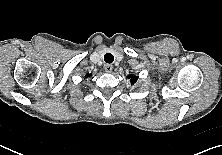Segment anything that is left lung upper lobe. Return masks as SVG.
I'll return each instance as SVG.
<instances>
[{
	"label": "left lung upper lobe",
	"mask_w": 222,
	"mask_h": 155,
	"mask_svg": "<svg viewBox=\"0 0 222 155\" xmlns=\"http://www.w3.org/2000/svg\"><path fill=\"white\" fill-rule=\"evenodd\" d=\"M128 78H130L131 83H135L138 79L137 76L129 75Z\"/></svg>",
	"instance_id": "left-lung-upper-lobe-1"
}]
</instances>
